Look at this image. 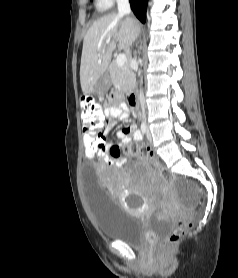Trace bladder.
Masks as SVG:
<instances>
[{"label": "bladder", "instance_id": "1", "mask_svg": "<svg viewBox=\"0 0 238 278\" xmlns=\"http://www.w3.org/2000/svg\"><path fill=\"white\" fill-rule=\"evenodd\" d=\"M84 173V180H95L93 167H84ZM84 188L95 224L108 239L140 247L147 242L149 233H161L173 226L169 217L146 221L127 213L109 191L99 186V181H85Z\"/></svg>", "mask_w": 238, "mask_h": 278}]
</instances>
